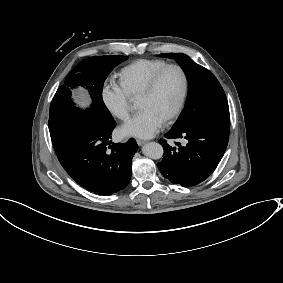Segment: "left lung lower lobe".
<instances>
[{
  "label": "left lung lower lobe",
  "mask_w": 283,
  "mask_h": 283,
  "mask_svg": "<svg viewBox=\"0 0 283 283\" xmlns=\"http://www.w3.org/2000/svg\"><path fill=\"white\" fill-rule=\"evenodd\" d=\"M229 125L230 121L224 119L201 122L183 129L172 128L165 137H184L187 145L176 148L166 140H160L164 157L158 163V168L162 175L173 184L184 187L204 181L224 155L229 139Z\"/></svg>",
  "instance_id": "obj_1"
}]
</instances>
